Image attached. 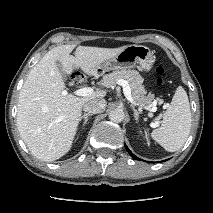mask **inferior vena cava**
<instances>
[{"instance_id": "obj_1", "label": "inferior vena cava", "mask_w": 213, "mask_h": 213, "mask_svg": "<svg viewBox=\"0 0 213 213\" xmlns=\"http://www.w3.org/2000/svg\"><path fill=\"white\" fill-rule=\"evenodd\" d=\"M106 105L107 103L104 99L90 100L83 105V110L91 114H97L103 112Z\"/></svg>"}]
</instances>
